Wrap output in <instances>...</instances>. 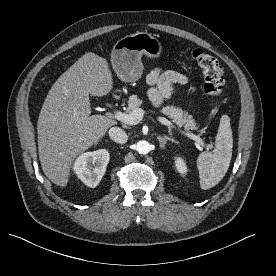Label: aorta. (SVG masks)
Returning <instances> with one entry per match:
<instances>
[{
  "mask_svg": "<svg viewBox=\"0 0 276 276\" xmlns=\"http://www.w3.org/2000/svg\"><path fill=\"white\" fill-rule=\"evenodd\" d=\"M135 149L139 154H148L151 150V145L149 142L142 140L136 143Z\"/></svg>",
  "mask_w": 276,
  "mask_h": 276,
  "instance_id": "1",
  "label": "aorta"
}]
</instances>
